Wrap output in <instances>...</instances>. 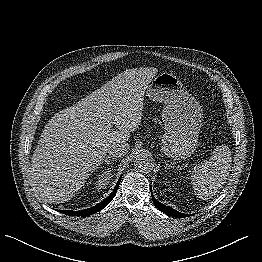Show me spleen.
Instances as JSON below:
<instances>
[{"label": "spleen", "instance_id": "1", "mask_svg": "<svg viewBox=\"0 0 262 262\" xmlns=\"http://www.w3.org/2000/svg\"><path fill=\"white\" fill-rule=\"evenodd\" d=\"M231 152L228 146H217L212 156L196 165L191 172V182L200 198L215 195L224 185L231 168Z\"/></svg>", "mask_w": 262, "mask_h": 262}]
</instances>
